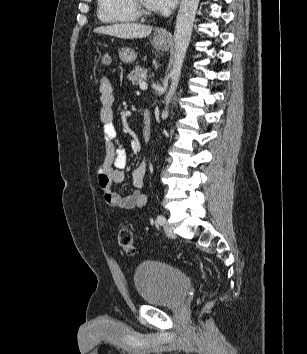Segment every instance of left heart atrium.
I'll return each instance as SVG.
<instances>
[{
    "mask_svg": "<svg viewBox=\"0 0 307 354\" xmlns=\"http://www.w3.org/2000/svg\"><path fill=\"white\" fill-rule=\"evenodd\" d=\"M149 2L154 10L168 11L176 5L177 0H149Z\"/></svg>",
    "mask_w": 307,
    "mask_h": 354,
    "instance_id": "1",
    "label": "left heart atrium"
}]
</instances>
